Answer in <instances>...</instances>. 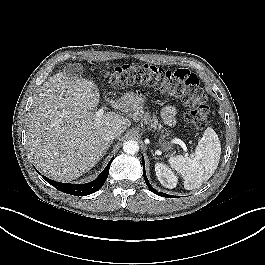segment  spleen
<instances>
[{
	"mask_svg": "<svg viewBox=\"0 0 265 265\" xmlns=\"http://www.w3.org/2000/svg\"><path fill=\"white\" fill-rule=\"evenodd\" d=\"M220 155V140L215 131L208 127L193 154L170 157L169 164L183 177L185 189L192 190L200 187L214 174Z\"/></svg>",
	"mask_w": 265,
	"mask_h": 265,
	"instance_id": "3e777b00",
	"label": "spleen"
}]
</instances>
